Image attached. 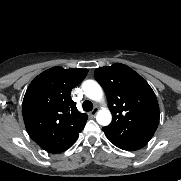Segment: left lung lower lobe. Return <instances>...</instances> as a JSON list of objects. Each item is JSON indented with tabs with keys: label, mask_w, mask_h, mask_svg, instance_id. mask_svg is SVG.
Segmentation results:
<instances>
[{
	"label": "left lung lower lobe",
	"mask_w": 181,
	"mask_h": 181,
	"mask_svg": "<svg viewBox=\"0 0 181 181\" xmlns=\"http://www.w3.org/2000/svg\"><path fill=\"white\" fill-rule=\"evenodd\" d=\"M115 146L119 147L120 149L127 150V151H134L142 148L144 145L141 144H133V143H127V144H120L111 141Z\"/></svg>",
	"instance_id": "1"
}]
</instances>
